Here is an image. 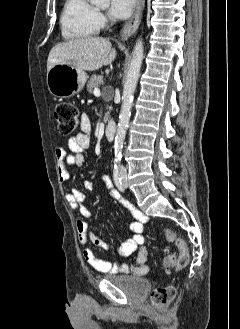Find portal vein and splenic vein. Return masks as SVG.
I'll return each instance as SVG.
<instances>
[{
    "label": "portal vein and splenic vein",
    "mask_w": 240,
    "mask_h": 329,
    "mask_svg": "<svg viewBox=\"0 0 240 329\" xmlns=\"http://www.w3.org/2000/svg\"><path fill=\"white\" fill-rule=\"evenodd\" d=\"M100 94H101V93H100V89H99V88H95V89H94V95H95V96H100Z\"/></svg>",
    "instance_id": "18ae733b"
}]
</instances>
